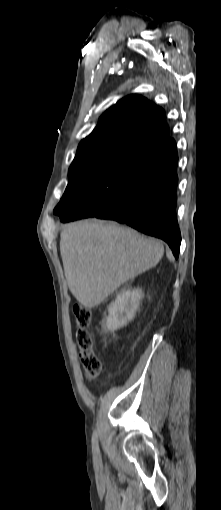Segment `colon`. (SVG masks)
<instances>
[{
  "instance_id": "obj_1",
  "label": "colon",
  "mask_w": 221,
  "mask_h": 510,
  "mask_svg": "<svg viewBox=\"0 0 221 510\" xmlns=\"http://www.w3.org/2000/svg\"><path fill=\"white\" fill-rule=\"evenodd\" d=\"M76 323L79 327L76 340L79 347V360L87 379L96 378L102 371V362L95 353V340L88 330L92 320V310L87 306L74 307Z\"/></svg>"
}]
</instances>
